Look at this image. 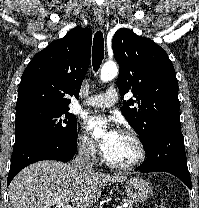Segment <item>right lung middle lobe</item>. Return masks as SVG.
<instances>
[{
    "mask_svg": "<svg viewBox=\"0 0 199 208\" xmlns=\"http://www.w3.org/2000/svg\"><path fill=\"white\" fill-rule=\"evenodd\" d=\"M68 111L45 107L16 111L14 148L35 140L71 145L77 140V121Z\"/></svg>",
    "mask_w": 199,
    "mask_h": 208,
    "instance_id": "right-lung-middle-lobe-1",
    "label": "right lung middle lobe"
}]
</instances>
